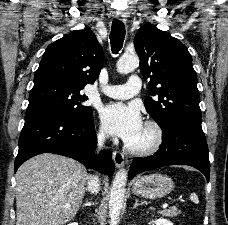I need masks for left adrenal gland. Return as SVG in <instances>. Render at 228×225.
<instances>
[{
	"label": "left adrenal gland",
	"instance_id": "1",
	"mask_svg": "<svg viewBox=\"0 0 228 225\" xmlns=\"http://www.w3.org/2000/svg\"><path fill=\"white\" fill-rule=\"evenodd\" d=\"M139 203H138V199H135V205L134 207H132V209H136V207H138Z\"/></svg>",
	"mask_w": 228,
	"mask_h": 225
}]
</instances>
